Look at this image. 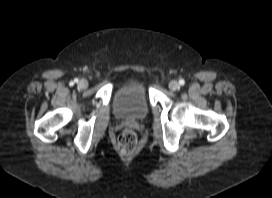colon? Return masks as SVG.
Segmentation results:
<instances>
[{"label": "colon", "mask_w": 272, "mask_h": 198, "mask_svg": "<svg viewBox=\"0 0 272 198\" xmlns=\"http://www.w3.org/2000/svg\"><path fill=\"white\" fill-rule=\"evenodd\" d=\"M138 144L137 135L134 130L126 128L118 135L117 148L124 156H129L136 151Z\"/></svg>", "instance_id": "1"}]
</instances>
